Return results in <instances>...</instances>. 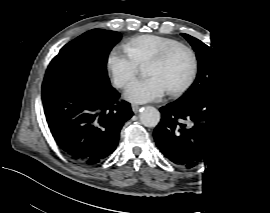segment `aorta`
Wrapping results in <instances>:
<instances>
[{
    "label": "aorta",
    "instance_id": "762f6f07",
    "mask_svg": "<svg viewBox=\"0 0 270 213\" xmlns=\"http://www.w3.org/2000/svg\"><path fill=\"white\" fill-rule=\"evenodd\" d=\"M139 118L144 126L155 127L160 121V112L153 106H146L140 111Z\"/></svg>",
    "mask_w": 270,
    "mask_h": 213
}]
</instances>
